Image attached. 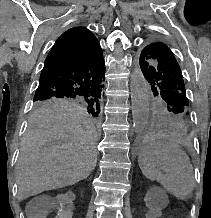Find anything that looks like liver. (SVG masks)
<instances>
[{
	"instance_id": "obj_1",
	"label": "liver",
	"mask_w": 211,
	"mask_h": 218,
	"mask_svg": "<svg viewBox=\"0 0 211 218\" xmlns=\"http://www.w3.org/2000/svg\"><path fill=\"white\" fill-rule=\"evenodd\" d=\"M96 142L95 126L82 110H35L16 166L19 200L88 178L97 164Z\"/></svg>"
}]
</instances>
